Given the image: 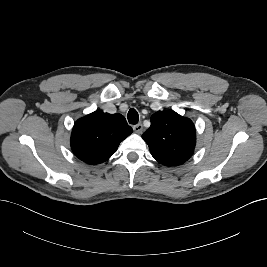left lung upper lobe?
Wrapping results in <instances>:
<instances>
[{"label":"left lung upper lobe","instance_id":"left-lung-upper-lobe-1","mask_svg":"<svg viewBox=\"0 0 267 267\" xmlns=\"http://www.w3.org/2000/svg\"><path fill=\"white\" fill-rule=\"evenodd\" d=\"M152 156L165 166H178L193 154L196 130L193 122L174 111H158L142 135Z\"/></svg>","mask_w":267,"mask_h":267}]
</instances>
